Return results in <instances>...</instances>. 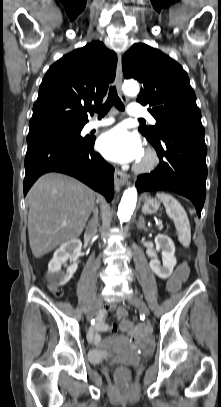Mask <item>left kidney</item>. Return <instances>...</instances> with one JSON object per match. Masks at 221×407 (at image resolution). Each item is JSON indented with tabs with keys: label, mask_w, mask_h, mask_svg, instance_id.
<instances>
[{
	"label": "left kidney",
	"mask_w": 221,
	"mask_h": 407,
	"mask_svg": "<svg viewBox=\"0 0 221 407\" xmlns=\"http://www.w3.org/2000/svg\"><path fill=\"white\" fill-rule=\"evenodd\" d=\"M156 249L161 250L163 264L157 258L150 261L151 270L161 279L171 276L176 265L175 245L170 237L159 234L155 237Z\"/></svg>",
	"instance_id": "1"
}]
</instances>
